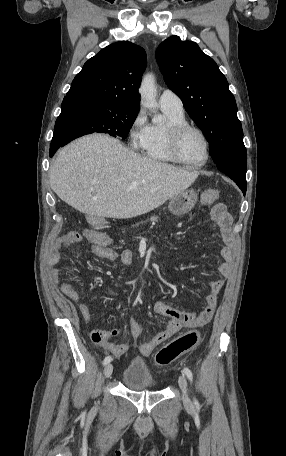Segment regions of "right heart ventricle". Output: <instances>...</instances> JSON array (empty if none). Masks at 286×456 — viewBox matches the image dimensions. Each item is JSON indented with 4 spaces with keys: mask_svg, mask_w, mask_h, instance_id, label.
<instances>
[{
    "mask_svg": "<svg viewBox=\"0 0 286 456\" xmlns=\"http://www.w3.org/2000/svg\"><path fill=\"white\" fill-rule=\"evenodd\" d=\"M166 122L164 124H152L148 126L146 137L140 148L146 158L155 162H176L169 154L166 144V128L171 123L186 122L184 113L174 112L162 108Z\"/></svg>",
    "mask_w": 286,
    "mask_h": 456,
    "instance_id": "right-heart-ventricle-1",
    "label": "right heart ventricle"
}]
</instances>
